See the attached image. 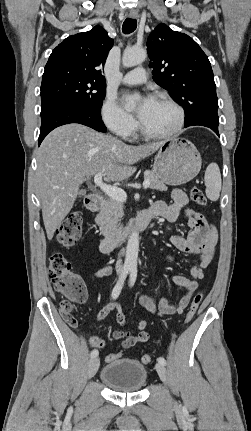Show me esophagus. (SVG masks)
<instances>
[{
	"mask_svg": "<svg viewBox=\"0 0 251 431\" xmlns=\"http://www.w3.org/2000/svg\"><path fill=\"white\" fill-rule=\"evenodd\" d=\"M128 15L132 19L138 18V13L136 11H130Z\"/></svg>",
	"mask_w": 251,
	"mask_h": 431,
	"instance_id": "esophagus-1",
	"label": "esophagus"
}]
</instances>
